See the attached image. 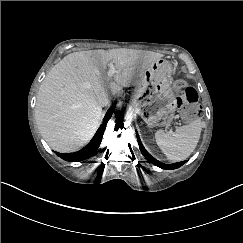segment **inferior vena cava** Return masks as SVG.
Listing matches in <instances>:
<instances>
[{
  "mask_svg": "<svg viewBox=\"0 0 243 243\" xmlns=\"http://www.w3.org/2000/svg\"><path fill=\"white\" fill-rule=\"evenodd\" d=\"M97 102L98 104L103 107L109 104V97H108V93L105 91H102L100 93L97 94L96 96Z\"/></svg>",
  "mask_w": 243,
  "mask_h": 243,
  "instance_id": "1",
  "label": "inferior vena cava"
}]
</instances>
